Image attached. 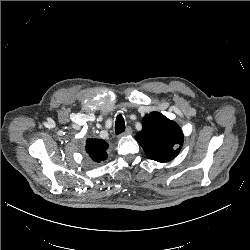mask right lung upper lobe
<instances>
[{
  "label": "right lung upper lobe",
  "instance_id": "cb5924a9",
  "mask_svg": "<svg viewBox=\"0 0 250 250\" xmlns=\"http://www.w3.org/2000/svg\"><path fill=\"white\" fill-rule=\"evenodd\" d=\"M108 146V143L102 139H88L86 141V152L94 162L100 163L108 157L106 153Z\"/></svg>",
  "mask_w": 250,
  "mask_h": 250
}]
</instances>
